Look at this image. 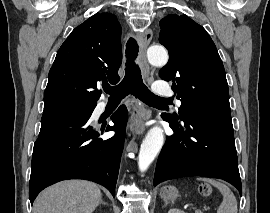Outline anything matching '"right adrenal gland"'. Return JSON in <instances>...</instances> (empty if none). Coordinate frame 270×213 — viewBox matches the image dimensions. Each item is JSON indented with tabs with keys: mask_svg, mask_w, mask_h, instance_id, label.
<instances>
[{
	"mask_svg": "<svg viewBox=\"0 0 270 213\" xmlns=\"http://www.w3.org/2000/svg\"><path fill=\"white\" fill-rule=\"evenodd\" d=\"M100 204H104V205H108L106 202L104 201H100Z\"/></svg>",
	"mask_w": 270,
	"mask_h": 213,
	"instance_id": "right-adrenal-gland-1",
	"label": "right adrenal gland"
}]
</instances>
